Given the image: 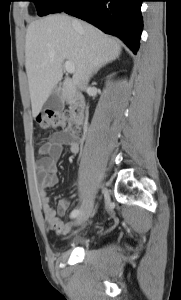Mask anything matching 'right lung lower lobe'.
Returning a JSON list of instances; mask_svg holds the SVG:
<instances>
[{
  "label": "right lung lower lobe",
  "instance_id": "1",
  "mask_svg": "<svg viewBox=\"0 0 181 300\" xmlns=\"http://www.w3.org/2000/svg\"><path fill=\"white\" fill-rule=\"evenodd\" d=\"M142 1L145 0H64L54 13L65 12L88 21L121 38L136 54L143 27Z\"/></svg>",
  "mask_w": 181,
  "mask_h": 300
}]
</instances>
